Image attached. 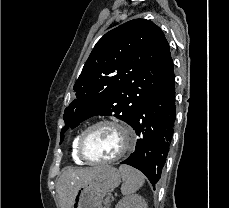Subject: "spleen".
<instances>
[{
  "label": "spleen",
  "instance_id": "1",
  "mask_svg": "<svg viewBox=\"0 0 229 208\" xmlns=\"http://www.w3.org/2000/svg\"><path fill=\"white\" fill-rule=\"evenodd\" d=\"M119 172L123 180L121 186L123 196H130V194H134L139 188H142L145 182V176H143L139 170H135V168L123 164V166H120Z\"/></svg>",
  "mask_w": 229,
  "mask_h": 208
}]
</instances>
